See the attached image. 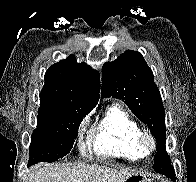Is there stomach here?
<instances>
[{"label":"stomach","instance_id":"0dacf381","mask_svg":"<svg viewBox=\"0 0 196 182\" xmlns=\"http://www.w3.org/2000/svg\"><path fill=\"white\" fill-rule=\"evenodd\" d=\"M125 182H152V179L142 173H135L128 177Z\"/></svg>","mask_w":196,"mask_h":182}]
</instances>
